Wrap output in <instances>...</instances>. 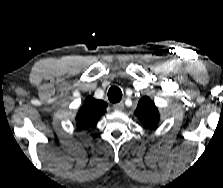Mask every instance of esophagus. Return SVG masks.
<instances>
[{
	"label": "esophagus",
	"instance_id": "esophagus-1",
	"mask_svg": "<svg viewBox=\"0 0 223 188\" xmlns=\"http://www.w3.org/2000/svg\"><path fill=\"white\" fill-rule=\"evenodd\" d=\"M114 110L116 111H122L124 109V103L119 102L113 105Z\"/></svg>",
	"mask_w": 223,
	"mask_h": 188
}]
</instances>
